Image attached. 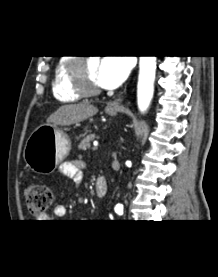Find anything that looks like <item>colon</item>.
I'll return each mask as SVG.
<instances>
[{"instance_id": "colon-1", "label": "colon", "mask_w": 218, "mask_h": 277, "mask_svg": "<svg viewBox=\"0 0 218 277\" xmlns=\"http://www.w3.org/2000/svg\"><path fill=\"white\" fill-rule=\"evenodd\" d=\"M26 206L34 215L44 214L51 206L53 193L49 186L40 183L29 185L25 190Z\"/></svg>"}]
</instances>
